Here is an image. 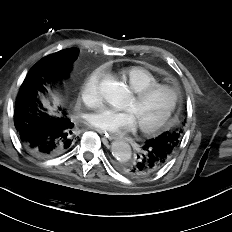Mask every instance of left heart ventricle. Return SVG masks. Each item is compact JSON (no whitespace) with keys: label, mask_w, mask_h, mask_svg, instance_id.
Wrapping results in <instances>:
<instances>
[{"label":"left heart ventricle","mask_w":232,"mask_h":232,"mask_svg":"<svg viewBox=\"0 0 232 232\" xmlns=\"http://www.w3.org/2000/svg\"><path fill=\"white\" fill-rule=\"evenodd\" d=\"M170 102V92L161 90L143 101H136L134 97L131 98L125 109L133 113L137 124L148 125L156 122L165 114Z\"/></svg>","instance_id":"left-heart-ventricle-1"}]
</instances>
